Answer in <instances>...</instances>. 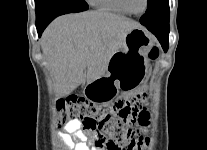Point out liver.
I'll list each match as a JSON object with an SVG mask.
<instances>
[{
  "instance_id": "liver-1",
  "label": "liver",
  "mask_w": 207,
  "mask_h": 150,
  "mask_svg": "<svg viewBox=\"0 0 207 150\" xmlns=\"http://www.w3.org/2000/svg\"><path fill=\"white\" fill-rule=\"evenodd\" d=\"M140 27L138 22L103 11L56 18L41 38L55 90L68 95L84 82L103 77L127 33Z\"/></svg>"
}]
</instances>
